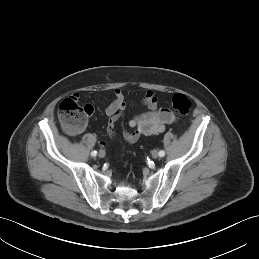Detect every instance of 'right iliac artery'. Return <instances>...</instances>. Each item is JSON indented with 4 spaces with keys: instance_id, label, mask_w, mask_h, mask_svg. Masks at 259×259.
<instances>
[{
    "instance_id": "obj_1",
    "label": "right iliac artery",
    "mask_w": 259,
    "mask_h": 259,
    "mask_svg": "<svg viewBox=\"0 0 259 259\" xmlns=\"http://www.w3.org/2000/svg\"><path fill=\"white\" fill-rule=\"evenodd\" d=\"M91 155H92V156H96V155H97V152H96V151H92V152H91Z\"/></svg>"
}]
</instances>
